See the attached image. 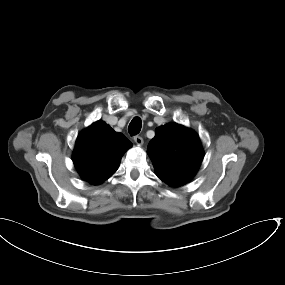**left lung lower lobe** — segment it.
<instances>
[{"label":"left lung lower lobe","instance_id":"left-lung-lower-lobe-1","mask_svg":"<svg viewBox=\"0 0 285 285\" xmlns=\"http://www.w3.org/2000/svg\"><path fill=\"white\" fill-rule=\"evenodd\" d=\"M173 186L177 187V186H181V185L177 184V185H173Z\"/></svg>","mask_w":285,"mask_h":285}]
</instances>
